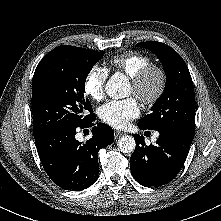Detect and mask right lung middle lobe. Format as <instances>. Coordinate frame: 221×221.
I'll list each match as a JSON object with an SVG mask.
<instances>
[{
	"label": "right lung middle lobe",
	"mask_w": 221,
	"mask_h": 221,
	"mask_svg": "<svg viewBox=\"0 0 221 221\" xmlns=\"http://www.w3.org/2000/svg\"><path fill=\"white\" fill-rule=\"evenodd\" d=\"M103 55L102 51L62 45L39 62L31 100L34 136L56 127L80 126L94 116L84 95L85 81Z\"/></svg>",
	"instance_id": "1"
}]
</instances>
